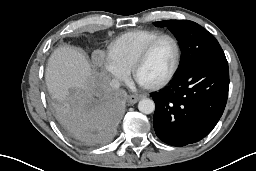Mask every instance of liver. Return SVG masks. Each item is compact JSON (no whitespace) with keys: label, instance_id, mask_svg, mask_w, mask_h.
I'll return each mask as SVG.
<instances>
[{"label":"liver","instance_id":"liver-1","mask_svg":"<svg viewBox=\"0 0 256 171\" xmlns=\"http://www.w3.org/2000/svg\"><path fill=\"white\" fill-rule=\"evenodd\" d=\"M45 80L52 97L65 102L70 89L75 88L87 96L89 86L95 82V77L88 59L82 52L69 46H62L51 54Z\"/></svg>","mask_w":256,"mask_h":171}]
</instances>
